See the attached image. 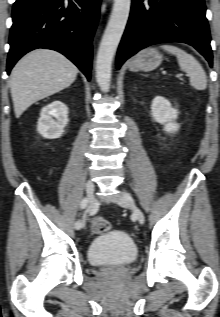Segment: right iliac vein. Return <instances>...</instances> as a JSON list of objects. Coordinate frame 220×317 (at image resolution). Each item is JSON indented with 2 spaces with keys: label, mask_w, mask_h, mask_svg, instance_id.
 I'll use <instances>...</instances> for the list:
<instances>
[{
  "label": "right iliac vein",
  "mask_w": 220,
  "mask_h": 317,
  "mask_svg": "<svg viewBox=\"0 0 220 317\" xmlns=\"http://www.w3.org/2000/svg\"><path fill=\"white\" fill-rule=\"evenodd\" d=\"M94 182L89 179L87 182H86V186H85V189H86V194H87V200H88V208H90L91 204H92V201H93V193H94ZM81 225L82 227H84L85 225V218L81 221ZM81 227V228H82Z\"/></svg>",
  "instance_id": "right-iliac-vein-1"
}]
</instances>
